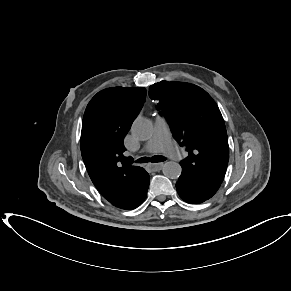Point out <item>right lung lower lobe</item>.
I'll use <instances>...</instances> for the list:
<instances>
[{"instance_id":"right-lung-lower-lobe-1","label":"right lung lower lobe","mask_w":291,"mask_h":291,"mask_svg":"<svg viewBox=\"0 0 291 291\" xmlns=\"http://www.w3.org/2000/svg\"><path fill=\"white\" fill-rule=\"evenodd\" d=\"M142 186L140 188V193L138 196H136L135 198H133L131 201H129L128 203H120L119 205H114L115 207L121 208V209H135L137 208L139 205L142 204V202L144 201V199L147 196V190L149 187V174L146 172V174L143 176L142 179Z\"/></svg>"}]
</instances>
